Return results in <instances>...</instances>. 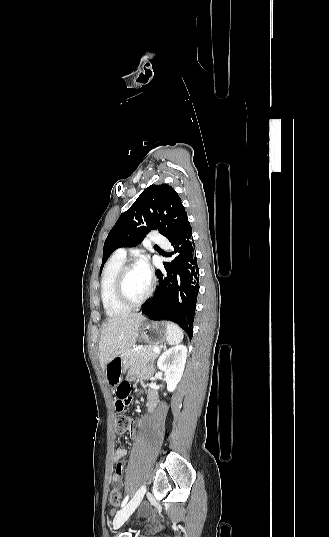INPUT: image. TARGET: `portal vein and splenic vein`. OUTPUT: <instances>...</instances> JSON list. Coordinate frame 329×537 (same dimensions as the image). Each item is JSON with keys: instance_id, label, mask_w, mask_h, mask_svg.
I'll list each match as a JSON object with an SVG mask.
<instances>
[{"instance_id": "1", "label": "portal vein and splenic vein", "mask_w": 329, "mask_h": 537, "mask_svg": "<svg viewBox=\"0 0 329 537\" xmlns=\"http://www.w3.org/2000/svg\"><path fill=\"white\" fill-rule=\"evenodd\" d=\"M154 351L155 352H160V349L159 348H154Z\"/></svg>"}]
</instances>
